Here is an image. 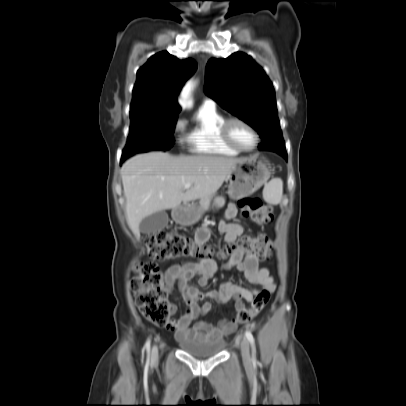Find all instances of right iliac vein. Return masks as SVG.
I'll list each match as a JSON object with an SVG mask.
<instances>
[{
    "label": "right iliac vein",
    "mask_w": 406,
    "mask_h": 406,
    "mask_svg": "<svg viewBox=\"0 0 406 406\" xmlns=\"http://www.w3.org/2000/svg\"><path fill=\"white\" fill-rule=\"evenodd\" d=\"M158 356H159V348H158V346L155 344V345L153 346V348H152L151 361H152V362L157 361Z\"/></svg>",
    "instance_id": "obj_1"
}]
</instances>
